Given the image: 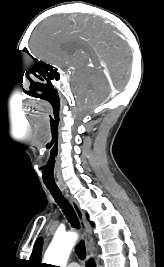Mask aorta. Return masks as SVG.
<instances>
[{
  "label": "aorta",
  "instance_id": "aorta-1",
  "mask_svg": "<svg viewBox=\"0 0 164 267\" xmlns=\"http://www.w3.org/2000/svg\"><path fill=\"white\" fill-rule=\"evenodd\" d=\"M77 239L78 234L75 232L55 235L45 252L44 262L46 264L65 267Z\"/></svg>",
  "mask_w": 164,
  "mask_h": 267
}]
</instances>
